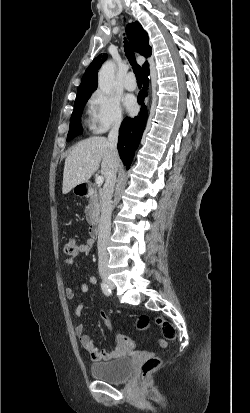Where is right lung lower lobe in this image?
<instances>
[{
	"instance_id": "1",
	"label": "right lung lower lobe",
	"mask_w": 250,
	"mask_h": 413,
	"mask_svg": "<svg viewBox=\"0 0 250 413\" xmlns=\"http://www.w3.org/2000/svg\"><path fill=\"white\" fill-rule=\"evenodd\" d=\"M143 74L144 86L138 95V103L141 105L140 115L135 118L126 117L119 130L117 147L120 158L127 169L130 167L134 153L138 148L147 120L144 99L147 95L149 70L143 71Z\"/></svg>"
}]
</instances>
